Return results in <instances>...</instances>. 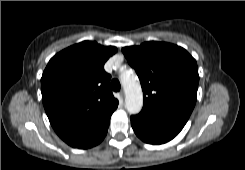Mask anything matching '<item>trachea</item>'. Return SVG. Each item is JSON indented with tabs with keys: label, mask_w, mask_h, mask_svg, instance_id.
<instances>
[{
	"label": "trachea",
	"mask_w": 245,
	"mask_h": 170,
	"mask_svg": "<svg viewBox=\"0 0 245 170\" xmlns=\"http://www.w3.org/2000/svg\"><path fill=\"white\" fill-rule=\"evenodd\" d=\"M111 88L113 91L118 92L120 91L121 85L118 79H113L111 81Z\"/></svg>",
	"instance_id": "trachea-1"
}]
</instances>
